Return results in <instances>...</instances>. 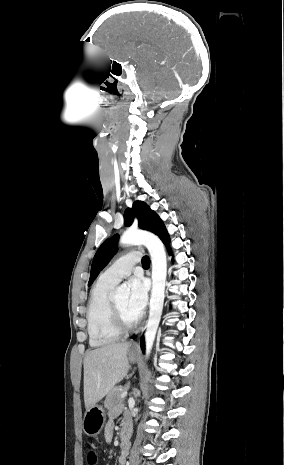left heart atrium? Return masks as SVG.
<instances>
[{"label": "left heart atrium", "mask_w": 284, "mask_h": 465, "mask_svg": "<svg viewBox=\"0 0 284 465\" xmlns=\"http://www.w3.org/2000/svg\"><path fill=\"white\" fill-rule=\"evenodd\" d=\"M129 285L130 292L128 297V309L135 317L138 318L144 311L147 304V286L144 280L140 277L132 278Z\"/></svg>", "instance_id": "39dd6f15"}]
</instances>
